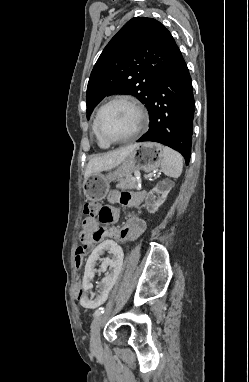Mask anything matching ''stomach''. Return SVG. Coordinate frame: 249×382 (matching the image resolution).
Listing matches in <instances>:
<instances>
[{"mask_svg":"<svg viewBox=\"0 0 249 382\" xmlns=\"http://www.w3.org/2000/svg\"><path fill=\"white\" fill-rule=\"evenodd\" d=\"M162 160V145L154 142L135 144L132 152L114 172L93 173L86 178L83 184L84 194L89 200L101 201L108 193L112 181L135 171L152 172L160 166Z\"/></svg>","mask_w":249,"mask_h":382,"instance_id":"obj_1","label":"stomach"}]
</instances>
